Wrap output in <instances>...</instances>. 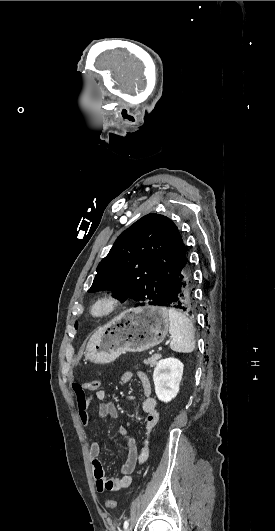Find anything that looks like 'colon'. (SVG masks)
<instances>
[{
  "instance_id": "colon-1",
  "label": "colon",
  "mask_w": 275,
  "mask_h": 531,
  "mask_svg": "<svg viewBox=\"0 0 275 531\" xmlns=\"http://www.w3.org/2000/svg\"><path fill=\"white\" fill-rule=\"evenodd\" d=\"M99 387H100L99 378L89 379L85 382V392L95 393L99 390ZM117 504L118 502L116 499H108L106 501V507L109 510H115L117 508Z\"/></svg>"
}]
</instances>
